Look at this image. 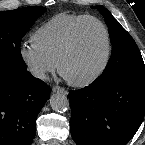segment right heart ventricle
I'll use <instances>...</instances> for the list:
<instances>
[{
	"instance_id": "obj_1",
	"label": "right heart ventricle",
	"mask_w": 145,
	"mask_h": 145,
	"mask_svg": "<svg viewBox=\"0 0 145 145\" xmlns=\"http://www.w3.org/2000/svg\"><path fill=\"white\" fill-rule=\"evenodd\" d=\"M84 16L86 15L68 13L53 16L33 33L32 43L56 63L71 29Z\"/></svg>"
}]
</instances>
